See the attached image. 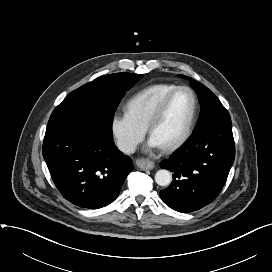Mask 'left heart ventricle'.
I'll return each instance as SVG.
<instances>
[{"label": "left heart ventricle", "instance_id": "b2bd125f", "mask_svg": "<svg viewBox=\"0 0 272 272\" xmlns=\"http://www.w3.org/2000/svg\"><path fill=\"white\" fill-rule=\"evenodd\" d=\"M192 108L193 100L189 92L176 93L164 116L155 126L151 137L161 146L175 141L183 133L191 116Z\"/></svg>", "mask_w": 272, "mask_h": 272}]
</instances>
